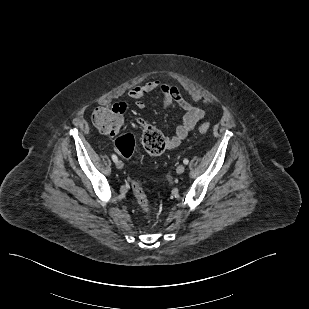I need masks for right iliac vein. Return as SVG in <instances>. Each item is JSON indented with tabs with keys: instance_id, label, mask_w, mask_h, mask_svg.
Listing matches in <instances>:
<instances>
[{
	"instance_id": "63e3f726",
	"label": "right iliac vein",
	"mask_w": 309,
	"mask_h": 309,
	"mask_svg": "<svg viewBox=\"0 0 309 309\" xmlns=\"http://www.w3.org/2000/svg\"><path fill=\"white\" fill-rule=\"evenodd\" d=\"M116 167H117L118 169H122V168L124 167L123 162L120 161V160H118V161L116 162Z\"/></svg>"
}]
</instances>
